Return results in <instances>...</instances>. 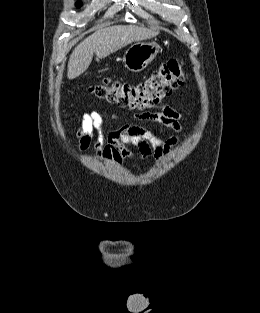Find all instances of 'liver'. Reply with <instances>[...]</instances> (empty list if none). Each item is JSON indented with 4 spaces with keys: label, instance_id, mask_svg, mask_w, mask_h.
I'll list each match as a JSON object with an SVG mask.
<instances>
[{
    "label": "liver",
    "instance_id": "6515ba94",
    "mask_svg": "<svg viewBox=\"0 0 260 313\" xmlns=\"http://www.w3.org/2000/svg\"><path fill=\"white\" fill-rule=\"evenodd\" d=\"M158 33L157 30L132 25H115L97 30L72 51L67 77L74 79L84 73L92 62L94 53L102 59L134 41L150 39Z\"/></svg>",
    "mask_w": 260,
    "mask_h": 313
}]
</instances>
